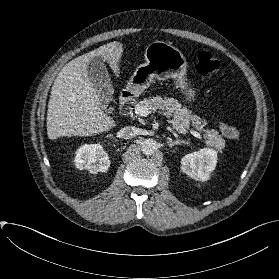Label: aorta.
Segmentation results:
<instances>
[{
	"mask_svg": "<svg viewBox=\"0 0 279 279\" xmlns=\"http://www.w3.org/2000/svg\"><path fill=\"white\" fill-rule=\"evenodd\" d=\"M141 149L145 155H153L157 150V144L153 139H146L142 142Z\"/></svg>",
	"mask_w": 279,
	"mask_h": 279,
	"instance_id": "obj_1",
	"label": "aorta"
}]
</instances>
